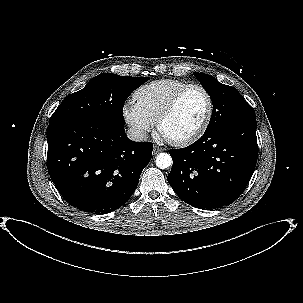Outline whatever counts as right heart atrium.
<instances>
[{
    "label": "right heart atrium",
    "mask_w": 303,
    "mask_h": 303,
    "mask_svg": "<svg viewBox=\"0 0 303 303\" xmlns=\"http://www.w3.org/2000/svg\"><path fill=\"white\" fill-rule=\"evenodd\" d=\"M124 121L137 139L146 138L154 128V121L134 101H127L122 107Z\"/></svg>",
    "instance_id": "right-heart-atrium-1"
}]
</instances>
